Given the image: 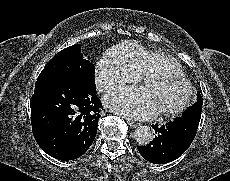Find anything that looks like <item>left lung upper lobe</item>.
Segmentation results:
<instances>
[{
  "mask_svg": "<svg viewBox=\"0 0 230 181\" xmlns=\"http://www.w3.org/2000/svg\"><path fill=\"white\" fill-rule=\"evenodd\" d=\"M202 103H203V99L201 95L197 94V102L193 106H190L188 109L196 108V109L202 110Z\"/></svg>",
  "mask_w": 230,
  "mask_h": 181,
  "instance_id": "left-lung-upper-lobe-1",
  "label": "left lung upper lobe"
}]
</instances>
